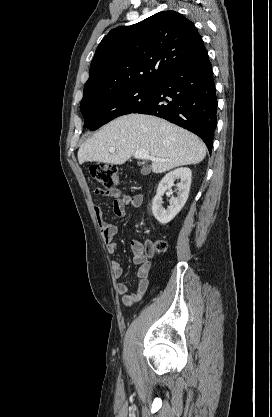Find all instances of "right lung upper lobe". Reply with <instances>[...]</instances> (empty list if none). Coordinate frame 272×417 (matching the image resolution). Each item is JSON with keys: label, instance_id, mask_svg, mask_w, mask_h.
Segmentation results:
<instances>
[{"label": "right lung upper lobe", "instance_id": "cb5924a9", "mask_svg": "<svg viewBox=\"0 0 272 417\" xmlns=\"http://www.w3.org/2000/svg\"><path fill=\"white\" fill-rule=\"evenodd\" d=\"M203 40L191 21L162 11L131 26L111 30L100 42L84 87L85 97L156 83L192 59Z\"/></svg>", "mask_w": 272, "mask_h": 417}]
</instances>
